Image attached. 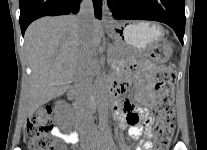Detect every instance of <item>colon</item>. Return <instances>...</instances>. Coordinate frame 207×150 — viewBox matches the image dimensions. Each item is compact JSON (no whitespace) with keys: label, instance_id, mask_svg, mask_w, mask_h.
<instances>
[{"label":"colon","instance_id":"5ec220e1","mask_svg":"<svg viewBox=\"0 0 207 150\" xmlns=\"http://www.w3.org/2000/svg\"><path fill=\"white\" fill-rule=\"evenodd\" d=\"M170 55V47L160 42L152 50L153 60L161 65L155 74V89L158 104L154 113L155 140L157 150H166L174 130L175 70L173 65H164ZM53 123L49 107L34 112L27 121L29 150H62L59 142L50 134Z\"/></svg>","mask_w":207,"mask_h":150}]
</instances>
